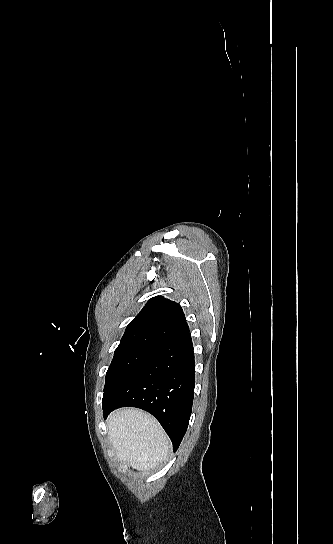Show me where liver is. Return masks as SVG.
<instances>
[{
    "instance_id": "6515ba94",
    "label": "liver",
    "mask_w": 333,
    "mask_h": 544,
    "mask_svg": "<svg viewBox=\"0 0 333 544\" xmlns=\"http://www.w3.org/2000/svg\"><path fill=\"white\" fill-rule=\"evenodd\" d=\"M107 428L116 457L137 470H146L165 461L170 441L150 414L125 408L113 412Z\"/></svg>"
}]
</instances>
